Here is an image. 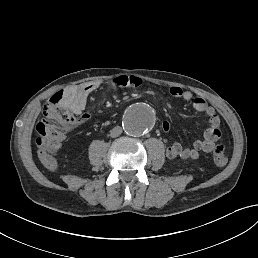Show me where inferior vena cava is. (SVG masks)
<instances>
[{"label":"inferior vena cava","instance_id":"obj_1","mask_svg":"<svg viewBox=\"0 0 258 258\" xmlns=\"http://www.w3.org/2000/svg\"><path fill=\"white\" fill-rule=\"evenodd\" d=\"M122 133V128L120 126H115L111 131H110V136L112 138L120 136Z\"/></svg>","mask_w":258,"mask_h":258}]
</instances>
